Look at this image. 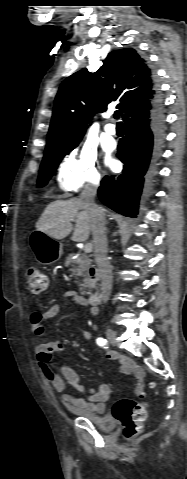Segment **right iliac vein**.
<instances>
[{"instance_id": "63e3f726", "label": "right iliac vein", "mask_w": 187, "mask_h": 479, "mask_svg": "<svg viewBox=\"0 0 187 479\" xmlns=\"http://www.w3.org/2000/svg\"><path fill=\"white\" fill-rule=\"evenodd\" d=\"M105 333H106V337L110 341V343L115 345L117 343V335H116L115 331L112 330L111 328H107Z\"/></svg>"}]
</instances>
